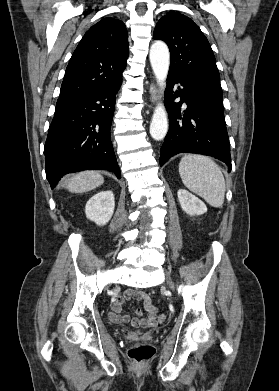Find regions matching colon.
Returning <instances> with one entry per match:
<instances>
[{"label":"colon","instance_id":"obj_1","mask_svg":"<svg viewBox=\"0 0 279 391\" xmlns=\"http://www.w3.org/2000/svg\"><path fill=\"white\" fill-rule=\"evenodd\" d=\"M158 320L160 322H164L166 320V316L164 314H161L158 317ZM154 353V348L148 344L135 345L128 351L129 357L137 363H143L148 361L150 358L153 357Z\"/></svg>","mask_w":279,"mask_h":391}]
</instances>
